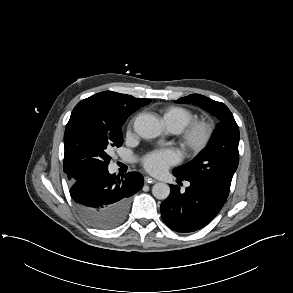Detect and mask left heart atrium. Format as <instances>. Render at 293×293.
<instances>
[{
  "label": "left heart atrium",
  "instance_id": "1",
  "mask_svg": "<svg viewBox=\"0 0 293 293\" xmlns=\"http://www.w3.org/2000/svg\"><path fill=\"white\" fill-rule=\"evenodd\" d=\"M177 159V154L171 149L156 150L144 158L143 165L149 173L161 175L175 164Z\"/></svg>",
  "mask_w": 293,
  "mask_h": 293
}]
</instances>
